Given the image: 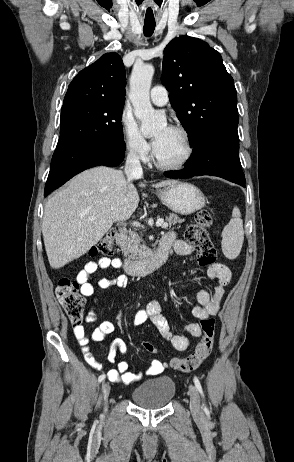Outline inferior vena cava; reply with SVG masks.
<instances>
[{"label":"inferior vena cava","mask_w":294,"mask_h":462,"mask_svg":"<svg viewBox=\"0 0 294 462\" xmlns=\"http://www.w3.org/2000/svg\"><path fill=\"white\" fill-rule=\"evenodd\" d=\"M124 172L127 176L128 182L135 178H140L143 175L139 156L134 149H130L127 154Z\"/></svg>","instance_id":"inferior-vena-cava-1"}]
</instances>
